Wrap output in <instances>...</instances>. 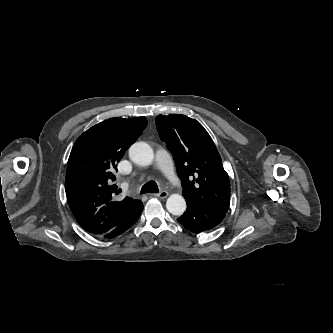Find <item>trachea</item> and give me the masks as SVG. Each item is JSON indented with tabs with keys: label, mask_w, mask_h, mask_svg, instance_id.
Here are the masks:
<instances>
[{
	"label": "trachea",
	"mask_w": 333,
	"mask_h": 333,
	"mask_svg": "<svg viewBox=\"0 0 333 333\" xmlns=\"http://www.w3.org/2000/svg\"><path fill=\"white\" fill-rule=\"evenodd\" d=\"M159 188L156 182L150 181L146 183L145 185L142 186L140 193L145 194V193H158Z\"/></svg>",
	"instance_id": "1"
}]
</instances>
